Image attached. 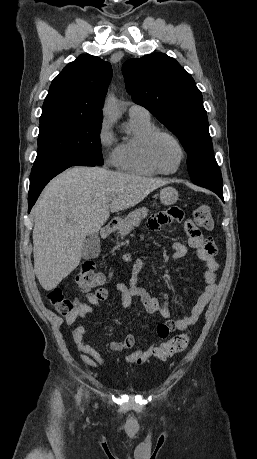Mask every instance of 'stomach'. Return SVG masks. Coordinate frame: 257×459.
Returning a JSON list of instances; mask_svg holds the SVG:
<instances>
[{
    "mask_svg": "<svg viewBox=\"0 0 257 459\" xmlns=\"http://www.w3.org/2000/svg\"><path fill=\"white\" fill-rule=\"evenodd\" d=\"M160 200L165 205H172L178 200V192L173 187H165L160 191Z\"/></svg>",
    "mask_w": 257,
    "mask_h": 459,
    "instance_id": "obj_1",
    "label": "stomach"
}]
</instances>
